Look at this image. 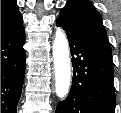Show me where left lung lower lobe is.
<instances>
[{
    "label": "left lung lower lobe",
    "instance_id": "obj_1",
    "mask_svg": "<svg viewBox=\"0 0 121 113\" xmlns=\"http://www.w3.org/2000/svg\"><path fill=\"white\" fill-rule=\"evenodd\" d=\"M57 26L68 36L73 80L68 97L57 105L56 113H115L112 56L61 18H57Z\"/></svg>",
    "mask_w": 121,
    "mask_h": 113
}]
</instances>
